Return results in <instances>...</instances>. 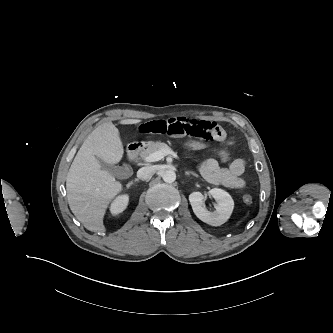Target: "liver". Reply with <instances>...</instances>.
I'll return each mask as SVG.
<instances>
[{
	"label": "liver",
	"instance_id": "6515ba94",
	"mask_svg": "<svg viewBox=\"0 0 333 333\" xmlns=\"http://www.w3.org/2000/svg\"><path fill=\"white\" fill-rule=\"evenodd\" d=\"M124 119L120 124H137ZM124 154L118 129L112 123L98 126L77 152L66 177L67 199L72 213L93 232H105L103 218L110 201L122 191V184L102 170L98 158L115 164Z\"/></svg>",
	"mask_w": 333,
	"mask_h": 333
}]
</instances>
